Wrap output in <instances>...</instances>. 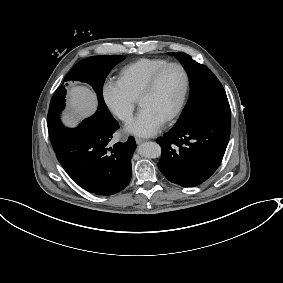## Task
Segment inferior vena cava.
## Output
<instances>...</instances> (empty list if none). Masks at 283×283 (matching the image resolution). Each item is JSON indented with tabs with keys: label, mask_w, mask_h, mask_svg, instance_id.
<instances>
[{
	"label": "inferior vena cava",
	"mask_w": 283,
	"mask_h": 283,
	"mask_svg": "<svg viewBox=\"0 0 283 283\" xmlns=\"http://www.w3.org/2000/svg\"><path fill=\"white\" fill-rule=\"evenodd\" d=\"M118 117L122 120V121H127L128 119L132 118V112L130 110H121L118 114Z\"/></svg>",
	"instance_id": "1"
}]
</instances>
